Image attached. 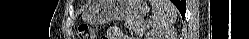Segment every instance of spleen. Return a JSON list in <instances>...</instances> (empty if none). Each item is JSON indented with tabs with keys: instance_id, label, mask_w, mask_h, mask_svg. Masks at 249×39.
Masks as SVG:
<instances>
[{
	"instance_id": "obj_1",
	"label": "spleen",
	"mask_w": 249,
	"mask_h": 39,
	"mask_svg": "<svg viewBox=\"0 0 249 39\" xmlns=\"http://www.w3.org/2000/svg\"><path fill=\"white\" fill-rule=\"evenodd\" d=\"M154 14L151 18L153 31L157 33L167 31L177 18L178 10L169 0H152Z\"/></svg>"
}]
</instances>
